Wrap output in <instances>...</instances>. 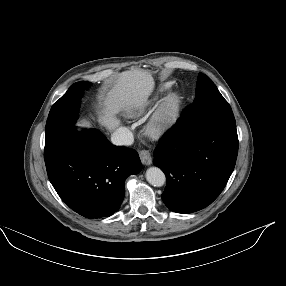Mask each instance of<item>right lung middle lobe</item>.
<instances>
[{
    "label": "right lung middle lobe",
    "mask_w": 286,
    "mask_h": 286,
    "mask_svg": "<svg viewBox=\"0 0 286 286\" xmlns=\"http://www.w3.org/2000/svg\"><path fill=\"white\" fill-rule=\"evenodd\" d=\"M88 86L89 82L74 83L63 97L53 104L46 123L45 139L74 127L78 118L80 98Z\"/></svg>",
    "instance_id": "dd1d6c3e"
}]
</instances>
